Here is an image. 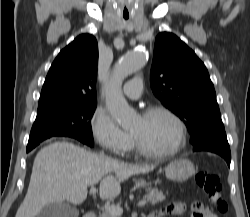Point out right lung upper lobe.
<instances>
[{
	"mask_svg": "<svg viewBox=\"0 0 250 217\" xmlns=\"http://www.w3.org/2000/svg\"><path fill=\"white\" fill-rule=\"evenodd\" d=\"M98 45L82 34L65 47L52 63L45 79L38 112L96 102Z\"/></svg>",
	"mask_w": 250,
	"mask_h": 217,
	"instance_id": "cb5924a9",
	"label": "right lung upper lobe"
}]
</instances>
